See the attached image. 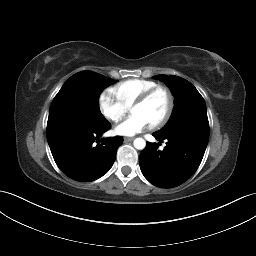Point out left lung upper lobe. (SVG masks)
Returning a JSON list of instances; mask_svg holds the SVG:
<instances>
[{"label":"left lung upper lobe","mask_w":256,"mask_h":256,"mask_svg":"<svg viewBox=\"0 0 256 256\" xmlns=\"http://www.w3.org/2000/svg\"><path fill=\"white\" fill-rule=\"evenodd\" d=\"M164 81L175 95L172 115L160 136L190 133L202 139H209V122L206 104L197 89L187 80L178 76L156 75Z\"/></svg>","instance_id":"left-lung-upper-lobe-1"}]
</instances>
